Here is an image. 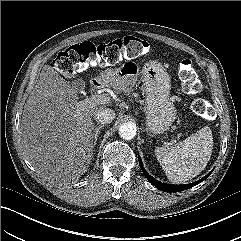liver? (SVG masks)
I'll return each mask as SVG.
<instances>
[{
	"label": "liver",
	"instance_id": "liver-1",
	"mask_svg": "<svg viewBox=\"0 0 241 241\" xmlns=\"http://www.w3.org/2000/svg\"><path fill=\"white\" fill-rule=\"evenodd\" d=\"M113 86V84H112ZM120 89V88H117ZM75 82L45 65L25 103L20 122L27 160L51 184L76 182L93 158L94 112L104 105L78 101Z\"/></svg>",
	"mask_w": 241,
	"mask_h": 241
}]
</instances>
